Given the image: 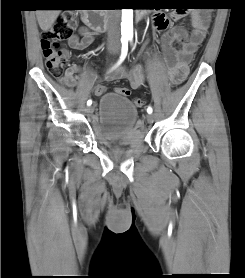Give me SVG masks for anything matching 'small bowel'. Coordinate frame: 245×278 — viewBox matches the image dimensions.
I'll return each instance as SVG.
<instances>
[{"label":"small bowel","instance_id":"obj_1","mask_svg":"<svg viewBox=\"0 0 245 278\" xmlns=\"http://www.w3.org/2000/svg\"><path fill=\"white\" fill-rule=\"evenodd\" d=\"M184 13L181 11L174 12L171 15L172 20H178ZM209 14L202 9H195L191 12V22L193 29L188 32L184 27L178 26L165 32L161 37V49L164 54L165 64L167 67L170 79L185 78L189 73V66L193 60L199 45L206 37ZM171 20L163 14L153 16V24L158 31L166 30L170 25ZM94 41V36L86 27L79 30V35H72L68 39V46L74 50H84L88 48ZM179 43L180 49H175L174 44ZM81 68L72 64L65 71L63 82L69 87H73L78 82V74ZM110 78L124 77L127 78L132 88L138 89L144 82V72L141 66L127 70L120 64L114 65L110 72ZM97 95L105 93L103 86H98L95 89Z\"/></svg>","mask_w":245,"mask_h":278}]
</instances>
